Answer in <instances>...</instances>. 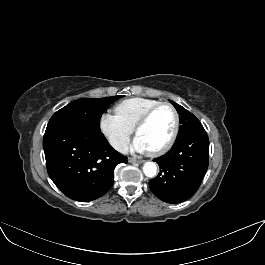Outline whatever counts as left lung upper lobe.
<instances>
[{"instance_id": "left-lung-upper-lobe-1", "label": "left lung upper lobe", "mask_w": 265, "mask_h": 265, "mask_svg": "<svg viewBox=\"0 0 265 265\" xmlns=\"http://www.w3.org/2000/svg\"><path fill=\"white\" fill-rule=\"evenodd\" d=\"M169 101L176 108L179 114V120L181 124L176 140L189 136L192 133L204 129L202 124L195 115H193L191 112L183 108L181 105H178L174 101L172 100Z\"/></svg>"}]
</instances>
